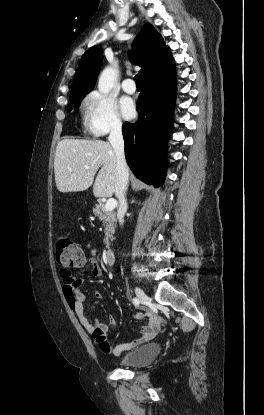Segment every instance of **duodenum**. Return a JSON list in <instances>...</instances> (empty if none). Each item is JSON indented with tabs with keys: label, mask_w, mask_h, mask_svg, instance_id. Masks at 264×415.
<instances>
[{
	"label": "duodenum",
	"mask_w": 264,
	"mask_h": 415,
	"mask_svg": "<svg viewBox=\"0 0 264 415\" xmlns=\"http://www.w3.org/2000/svg\"><path fill=\"white\" fill-rule=\"evenodd\" d=\"M105 263L109 266L114 265V250L111 248L105 252Z\"/></svg>",
	"instance_id": "410a0bca"
}]
</instances>
